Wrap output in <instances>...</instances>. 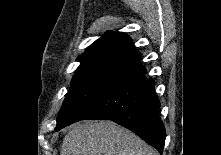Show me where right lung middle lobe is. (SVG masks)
Returning <instances> with one entry per match:
<instances>
[{"instance_id":"right-lung-middle-lobe-1","label":"right lung middle lobe","mask_w":221,"mask_h":155,"mask_svg":"<svg viewBox=\"0 0 221 155\" xmlns=\"http://www.w3.org/2000/svg\"><path fill=\"white\" fill-rule=\"evenodd\" d=\"M123 58L117 55H103L78 60L81 64L75 72L72 87L59 112L56 131L83 118L111 71Z\"/></svg>"}]
</instances>
